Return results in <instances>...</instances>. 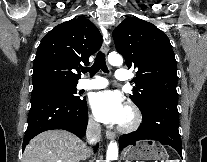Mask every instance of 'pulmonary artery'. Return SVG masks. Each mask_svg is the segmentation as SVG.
Returning a JSON list of instances; mask_svg holds the SVG:
<instances>
[{
	"mask_svg": "<svg viewBox=\"0 0 207 162\" xmlns=\"http://www.w3.org/2000/svg\"><path fill=\"white\" fill-rule=\"evenodd\" d=\"M115 77L118 81L125 83L128 79V73L124 70H117L115 72ZM108 82L106 79L95 76L92 79H84L78 83L79 89H89V90H96V89H102L107 87Z\"/></svg>",
	"mask_w": 207,
	"mask_h": 162,
	"instance_id": "pulmonary-artery-1",
	"label": "pulmonary artery"
}]
</instances>
